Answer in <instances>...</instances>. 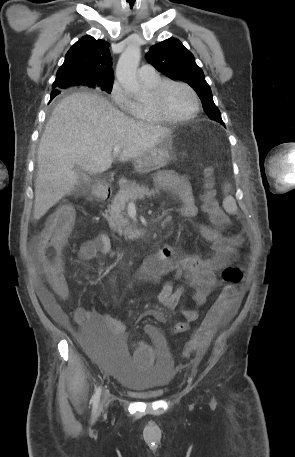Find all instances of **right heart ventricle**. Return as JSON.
Masks as SVG:
<instances>
[{
	"label": "right heart ventricle",
	"instance_id": "obj_1",
	"mask_svg": "<svg viewBox=\"0 0 295 457\" xmlns=\"http://www.w3.org/2000/svg\"><path fill=\"white\" fill-rule=\"evenodd\" d=\"M161 82V78L157 77L154 80L143 81V83L150 89L155 87L158 83ZM133 118L141 123L146 124H158L162 121L156 117L149 106L148 101H134L133 110L131 112Z\"/></svg>",
	"mask_w": 295,
	"mask_h": 457
}]
</instances>
